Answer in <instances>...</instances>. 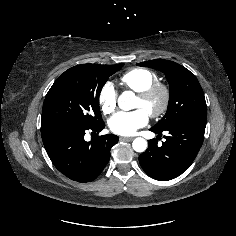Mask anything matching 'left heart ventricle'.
Instances as JSON below:
<instances>
[{
    "label": "left heart ventricle",
    "instance_id": "b2bd125f",
    "mask_svg": "<svg viewBox=\"0 0 236 236\" xmlns=\"http://www.w3.org/2000/svg\"><path fill=\"white\" fill-rule=\"evenodd\" d=\"M160 97H154L148 102L143 101L141 98L137 97L135 108H143L147 112L155 110L160 106Z\"/></svg>",
    "mask_w": 236,
    "mask_h": 236
}]
</instances>
